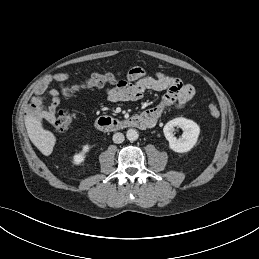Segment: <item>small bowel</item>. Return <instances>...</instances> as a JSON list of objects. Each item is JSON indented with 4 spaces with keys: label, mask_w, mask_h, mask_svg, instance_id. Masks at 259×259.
Segmentation results:
<instances>
[{
    "label": "small bowel",
    "mask_w": 259,
    "mask_h": 259,
    "mask_svg": "<svg viewBox=\"0 0 259 259\" xmlns=\"http://www.w3.org/2000/svg\"><path fill=\"white\" fill-rule=\"evenodd\" d=\"M69 78L70 75L67 73L53 75V80L56 82H64ZM147 91H165L158 105L143 112L154 124L169 107L175 106L177 109H184L195 94L194 87L179 77L163 72L148 75L139 66L132 67L125 80L105 89L107 98L112 102L136 101L141 99ZM48 99L51 100V103L44 106V102ZM59 103L57 90L49 89L47 80L36 89L29 102L27 113L41 124L47 122L54 125Z\"/></svg>",
    "instance_id": "small-bowel-1"
}]
</instances>
